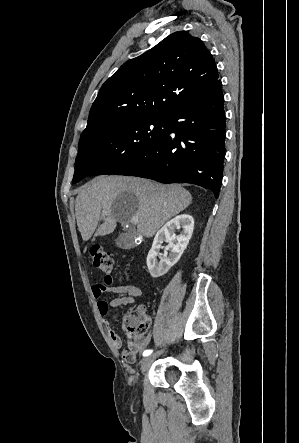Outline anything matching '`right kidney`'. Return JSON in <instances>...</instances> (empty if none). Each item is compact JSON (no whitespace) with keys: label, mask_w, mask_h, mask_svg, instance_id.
<instances>
[{"label":"right kidney","mask_w":299,"mask_h":443,"mask_svg":"<svg viewBox=\"0 0 299 443\" xmlns=\"http://www.w3.org/2000/svg\"><path fill=\"white\" fill-rule=\"evenodd\" d=\"M179 229H182V232L176 235L175 231ZM193 229V217L188 214H182L167 222L156 233L152 248L147 256V267L153 278L166 274L177 263L189 243ZM163 242H168L165 250H170V252L158 262L157 257Z\"/></svg>","instance_id":"ca27d5eb"}]
</instances>
